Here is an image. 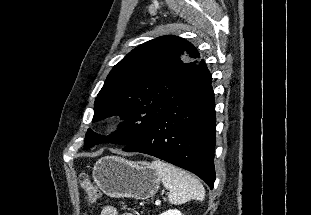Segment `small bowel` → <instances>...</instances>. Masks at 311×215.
<instances>
[{
  "label": "small bowel",
  "instance_id": "c3829d8e",
  "mask_svg": "<svg viewBox=\"0 0 311 215\" xmlns=\"http://www.w3.org/2000/svg\"><path fill=\"white\" fill-rule=\"evenodd\" d=\"M100 215H119L118 214V211L115 207L113 206H105L101 212H100ZM122 215H133L131 213H124Z\"/></svg>",
  "mask_w": 311,
  "mask_h": 215
}]
</instances>
